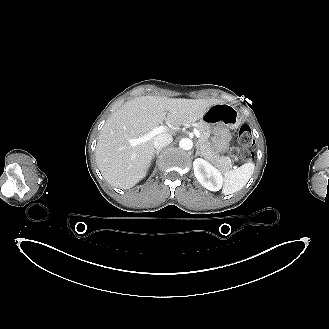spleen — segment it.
Returning a JSON list of instances; mask_svg holds the SVG:
<instances>
[{
  "label": "spleen",
  "instance_id": "spleen-1",
  "mask_svg": "<svg viewBox=\"0 0 329 329\" xmlns=\"http://www.w3.org/2000/svg\"><path fill=\"white\" fill-rule=\"evenodd\" d=\"M255 169L252 162L245 163L235 170H228L224 173V186L222 193L224 195L232 194L242 189L251 178Z\"/></svg>",
  "mask_w": 329,
  "mask_h": 329
}]
</instances>
